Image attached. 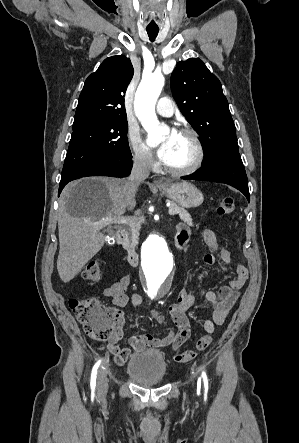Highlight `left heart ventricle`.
<instances>
[{"mask_svg":"<svg viewBox=\"0 0 299 443\" xmlns=\"http://www.w3.org/2000/svg\"><path fill=\"white\" fill-rule=\"evenodd\" d=\"M170 134L162 138V144L168 141ZM195 156V149L191 138L177 133L170 142L164 163L173 168H182L189 165Z\"/></svg>","mask_w":299,"mask_h":443,"instance_id":"b2bd125f","label":"left heart ventricle"}]
</instances>
